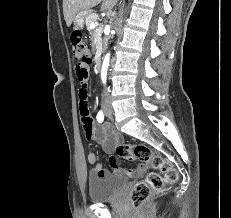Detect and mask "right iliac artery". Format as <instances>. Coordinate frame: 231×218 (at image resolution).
I'll list each match as a JSON object with an SVG mask.
<instances>
[{
  "label": "right iliac artery",
  "instance_id": "right-iliac-artery-1",
  "mask_svg": "<svg viewBox=\"0 0 231 218\" xmlns=\"http://www.w3.org/2000/svg\"><path fill=\"white\" fill-rule=\"evenodd\" d=\"M103 120H104V114H103L102 111H99L98 114H97V121H98L99 123H102Z\"/></svg>",
  "mask_w": 231,
  "mask_h": 218
}]
</instances>
